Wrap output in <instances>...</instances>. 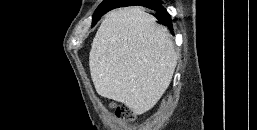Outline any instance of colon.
I'll return each instance as SVG.
<instances>
[{"mask_svg":"<svg viewBox=\"0 0 257 130\" xmlns=\"http://www.w3.org/2000/svg\"><path fill=\"white\" fill-rule=\"evenodd\" d=\"M115 118L121 122L128 123L135 119V114L130 108L119 106L115 111Z\"/></svg>","mask_w":257,"mask_h":130,"instance_id":"colon-1","label":"colon"}]
</instances>
